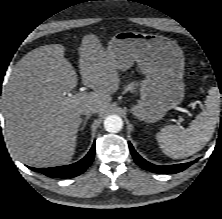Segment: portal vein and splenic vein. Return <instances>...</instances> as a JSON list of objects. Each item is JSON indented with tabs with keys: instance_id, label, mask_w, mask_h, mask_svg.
<instances>
[{
	"instance_id": "1",
	"label": "portal vein and splenic vein",
	"mask_w": 222,
	"mask_h": 219,
	"mask_svg": "<svg viewBox=\"0 0 222 219\" xmlns=\"http://www.w3.org/2000/svg\"><path fill=\"white\" fill-rule=\"evenodd\" d=\"M78 94H81V93H78ZM69 96L71 97L72 95L70 94ZM182 121H183V118L180 116V117H179L178 125H179L180 128L183 129V126L181 125Z\"/></svg>"
}]
</instances>
